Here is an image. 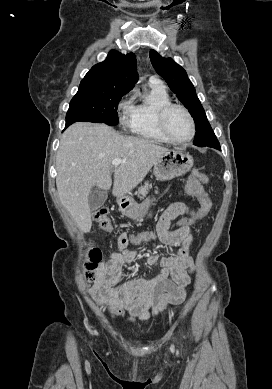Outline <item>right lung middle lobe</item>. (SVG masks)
I'll use <instances>...</instances> for the list:
<instances>
[{"label": "right lung middle lobe", "mask_w": 272, "mask_h": 389, "mask_svg": "<svg viewBox=\"0 0 272 389\" xmlns=\"http://www.w3.org/2000/svg\"><path fill=\"white\" fill-rule=\"evenodd\" d=\"M126 93L119 89L80 85L70 102L66 122L87 121L115 126L118 124V103Z\"/></svg>", "instance_id": "dd1d6c3e"}]
</instances>
